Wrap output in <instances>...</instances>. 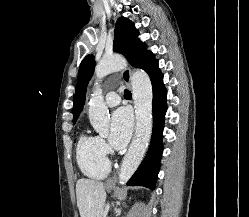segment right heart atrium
Listing matches in <instances>:
<instances>
[{
	"label": "right heart atrium",
	"mask_w": 249,
	"mask_h": 217,
	"mask_svg": "<svg viewBox=\"0 0 249 217\" xmlns=\"http://www.w3.org/2000/svg\"><path fill=\"white\" fill-rule=\"evenodd\" d=\"M99 146H100L101 151H102L105 155L108 154L109 148H108L106 142H105L102 138H99Z\"/></svg>",
	"instance_id": "right-heart-atrium-1"
}]
</instances>
